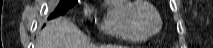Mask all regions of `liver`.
I'll return each instance as SVG.
<instances>
[{
	"label": "liver",
	"mask_w": 213,
	"mask_h": 48,
	"mask_svg": "<svg viewBox=\"0 0 213 48\" xmlns=\"http://www.w3.org/2000/svg\"><path fill=\"white\" fill-rule=\"evenodd\" d=\"M36 48H96L67 18L50 21L36 39ZM102 48H122L107 46Z\"/></svg>",
	"instance_id": "6515ba94"
}]
</instances>
